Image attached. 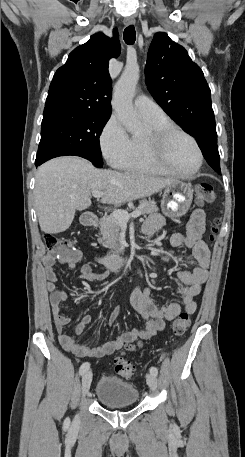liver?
<instances>
[{
    "label": "liver",
    "instance_id": "liver-1",
    "mask_svg": "<svg viewBox=\"0 0 245 457\" xmlns=\"http://www.w3.org/2000/svg\"><path fill=\"white\" fill-rule=\"evenodd\" d=\"M176 178H159L144 172H117L95 168L80 156H59L41 164L36 174L34 198L44 233H63L76 210L91 204L94 190L104 192L102 202L118 204L159 192Z\"/></svg>",
    "mask_w": 245,
    "mask_h": 457
}]
</instances>
